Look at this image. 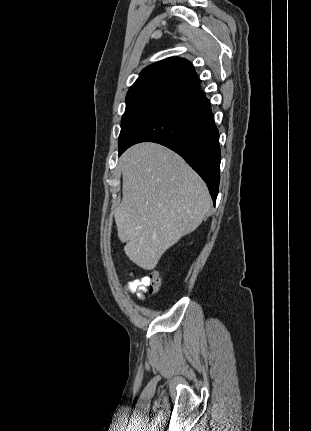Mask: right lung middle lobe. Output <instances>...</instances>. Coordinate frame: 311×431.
<instances>
[{
	"instance_id": "right-lung-middle-lobe-1",
	"label": "right lung middle lobe",
	"mask_w": 311,
	"mask_h": 431,
	"mask_svg": "<svg viewBox=\"0 0 311 431\" xmlns=\"http://www.w3.org/2000/svg\"><path fill=\"white\" fill-rule=\"evenodd\" d=\"M181 98L172 93L143 89L127 93L126 110L122 116L121 132L118 138L119 154L132 135L149 119L166 106Z\"/></svg>"
}]
</instances>
